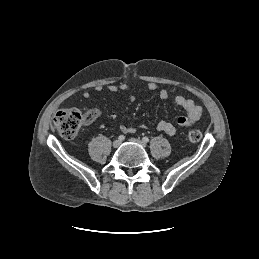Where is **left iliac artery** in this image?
Wrapping results in <instances>:
<instances>
[{
	"mask_svg": "<svg viewBox=\"0 0 259 259\" xmlns=\"http://www.w3.org/2000/svg\"><path fill=\"white\" fill-rule=\"evenodd\" d=\"M142 140H143V142H144V143H148V142H149V138H148V137H146V136H145V137H143V138H142Z\"/></svg>",
	"mask_w": 259,
	"mask_h": 259,
	"instance_id": "left-iliac-artery-1",
	"label": "left iliac artery"
}]
</instances>
